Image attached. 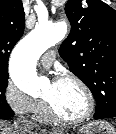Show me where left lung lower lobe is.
<instances>
[{"label": "left lung lower lobe", "instance_id": "left-lung-lower-lobe-1", "mask_svg": "<svg viewBox=\"0 0 116 134\" xmlns=\"http://www.w3.org/2000/svg\"><path fill=\"white\" fill-rule=\"evenodd\" d=\"M116 117V111H112L106 114H94L95 119L113 118Z\"/></svg>", "mask_w": 116, "mask_h": 134}]
</instances>
